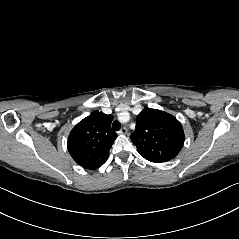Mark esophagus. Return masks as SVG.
<instances>
[{"label":"esophagus","instance_id":"1","mask_svg":"<svg viewBox=\"0 0 239 239\" xmlns=\"http://www.w3.org/2000/svg\"><path fill=\"white\" fill-rule=\"evenodd\" d=\"M120 134H128V129L126 127L121 128L119 131Z\"/></svg>","mask_w":239,"mask_h":239}]
</instances>
